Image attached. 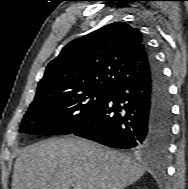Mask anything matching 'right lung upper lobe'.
Listing matches in <instances>:
<instances>
[{
  "instance_id": "1",
  "label": "right lung upper lobe",
  "mask_w": 188,
  "mask_h": 189,
  "mask_svg": "<svg viewBox=\"0 0 188 189\" xmlns=\"http://www.w3.org/2000/svg\"><path fill=\"white\" fill-rule=\"evenodd\" d=\"M149 70L141 32L114 22L67 44L47 65L36 96L88 88L112 90Z\"/></svg>"
}]
</instances>
